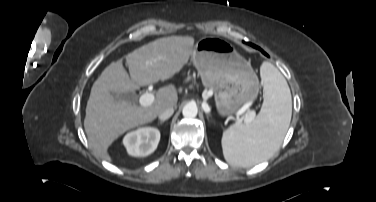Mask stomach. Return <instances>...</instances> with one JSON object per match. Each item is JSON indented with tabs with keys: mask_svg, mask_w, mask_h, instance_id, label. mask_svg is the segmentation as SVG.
Instances as JSON below:
<instances>
[{
	"mask_svg": "<svg viewBox=\"0 0 376 202\" xmlns=\"http://www.w3.org/2000/svg\"><path fill=\"white\" fill-rule=\"evenodd\" d=\"M191 61L206 88L213 89L220 116L233 114L243 103L254 101L258 78L250 63L228 41L201 38L194 46Z\"/></svg>",
	"mask_w": 376,
	"mask_h": 202,
	"instance_id": "obj_1",
	"label": "stomach"
}]
</instances>
